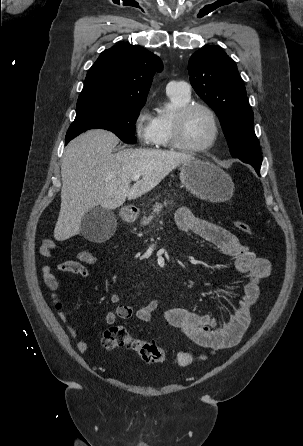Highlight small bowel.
<instances>
[{
	"label": "small bowel",
	"mask_w": 303,
	"mask_h": 446,
	"mask_svg": "<svg viewBox=\"0 0 303 446\" xmlns=\"http://www.w3.org/2000/svg\"><path fill=\"white\" fill-rule=\"evenodd\" d=\"M175 221L180 230L195 235L206 242L213 244L225 255L234 259V267L237 272L247 277L243 287V295L234 310L233 315L224 322H218L209 314L197 313L184 308L173 307L165 312L166 321L173 327L181 330L187 338L196 345L205 348L210 353L221 352L236 346L249 326L251 313L260 295V285L271 272L270 262L257 256L248 246L243 245L239 239L226 228L195 216L188 208L180 207L175 213ZM56 247L55 242L45 238L38 249L42 258H50ZM56 272L72 273L81 279L89 275L86 267L75 260H67L57 265L55 272L48 265H43L42 273L44 282L51 291L55 307L61 321L67 326L71 336L78 339L79 328L68 318L66 309L59 299L60 280ZM120 294H112L109 302L114 304L113 309L105 314V322L112 325L117 319H129L135 316L142 322H149L152 314L159 306V299H153L146 305L133 309L128 304H122ZM77 348L80 352H86L88 343L78 339ZM205 359L203 354L179 352L178 363L188 365L197 360Z\"/></svg>",
	"instance_id": "small-bowel-1"
}]
</instances>
